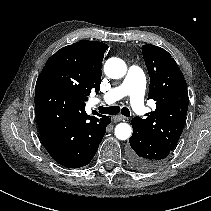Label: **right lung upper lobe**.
Instances as JSON below:
<instances>
[{"mask_svg": "<svg viewBox=\"0 0 211 211\" xmlns=\"http://www.w3.org/2000/svg\"><path fill=\"white\" fill-rule=\"evenodd\" d=\"M108 45L98 41L82 40L58 50L51 58L63 59L81 86L89 95L100 89L101 66Z\"/></svg>", "mask_w": 211, "mask_h": 211, "instance_id": "right-lung-upper-lobe-1", "label": "right lung upper lobe"}]
</instances>
